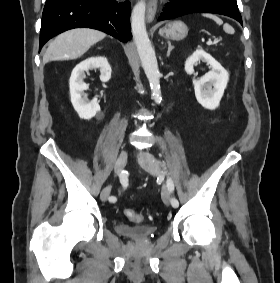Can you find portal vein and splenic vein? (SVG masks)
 <instances>
[{
  "mask_svg": "<svg viewBox=\"0 0 280 283\" xmlns=\"http://www.w3.org/2000/svg\"><path fill=\"white\" fill-rule=\"evenodd\" d=\"M207 45H212L213 44V42H212V40L211 39H209L208 40V42L206 43Z\"/></svg>",
  "mask_w": 280,
  "mask_h": 283,
  "instance_id": "18ae733b",
  "label": "portal vein and splenic vein"
}]
</instances>
